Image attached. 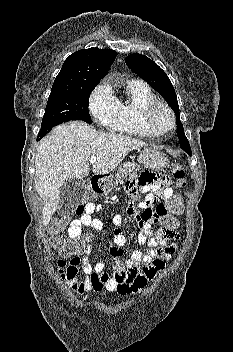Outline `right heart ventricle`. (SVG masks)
I'll list each match as a JSON object with an SVG mask.
<instances>
[{
	"mask_svg": "<svg viewBox=\"0 0 233 352\" xmlns=\"http://www.w3.org/2000/svg\"><path fill=\"white\" fill-rule=\"evenodd\" d=\"M128 99L120 102L116 131L139 137H152L141 120L144 107L156 100L151 89L141 81L127 84Z\"/></svg>",
	"mask_w": 233,
	"mask_h": 352,
	"instance_id": "right-heart-ventricle-1",
	"label": "right heart ventricle"
}]
</instances>
